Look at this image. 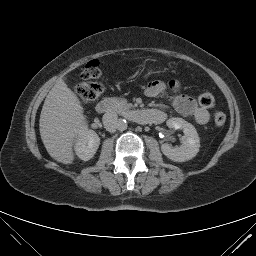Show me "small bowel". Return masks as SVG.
Listing matches in <instances>:
<instances>
[{"label": "small bowel", "mask_w": 256, "mask_h": 256, "mask_svg": "<svg viewBox=\"0 0 256 256\" xmlns=\"http://www.w3.org/2000/svg\"><path fill=\"white\" fill-rule=\"evenodd\" d=\"M169 86L175 90L179 89V85L174 81L169 83ZM166 90V84L161 80H152L148 83L145 88V94L148 97H158L161 96ZM171 104L173 108L179 114L183 116H192L194 120L200 124L204 125L208 123L210 119V114L207 109L199 106L197 102L190 96L177 93L171 99ZM157 111L165 119V114L160 110ZM162 120V121H163Z\"/></svg>", "instance_id": "c3829d8e"}]
</instances>
